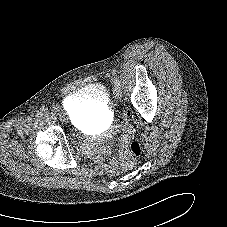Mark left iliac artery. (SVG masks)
<instances>
[{
    "instance_id": "obj_1",
    "label": "left iliac artery",
    "mask_w": 227,
    "mask_h": 227,
    "mask_svg": "<svg viewBox=\"0 0 227 227\" xmlns=\"http://www.w3.org/2000/svg\"><path fill=\"white\" fill-rule=\"evenodd\" d=\"M113 82L116 86H120V81L117 78H115Z\"/></svg>"
}]
</instances>
